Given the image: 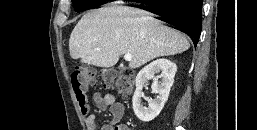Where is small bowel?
Returning <instances> with one entry per match:
<instances>
[{
  "label": "small bowel",
  "mask_w": 257,
  "mask_h": 130,
  "mask_svg": "<svg viewBox=\"0 0 257 130\" xmlns=\"http://www.w3.org/2000/svg\"><path fill=\"white\" fill-rule=\"evenodd\" d=\"M93 100L98 110H108L111 116L110 121L104 124L100 130H132L126 124H120L125 114V107L121 102L116 101L113 95L95 93ZM77 102L84 116L87 130H98L97 118L90 112L87 98L83 101L77 99Z\"/></svg>",
  "instance_id": "obj_1"
}]
</instances>
